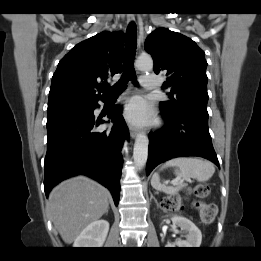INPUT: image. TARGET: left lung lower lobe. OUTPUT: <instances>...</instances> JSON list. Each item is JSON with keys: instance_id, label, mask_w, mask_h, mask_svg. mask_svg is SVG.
<instances>
[{"instance_id": "obj_1", "label": "left lung lower lobe", "mask_w": 261, "mask_h": 261, "mask_svg": "<svg viewBox=\"0 0 261 261\" xmlns=\"http://www.w3.org/2000/svg\"><path fill=\"white\" fill-rule=\"evenodd\" d=\"M163 116L164 127L149 134L147 175L160 163L182 156L203 157L219 167L208 130V116L188 108Z\"/></svg>"}]
</instances>
